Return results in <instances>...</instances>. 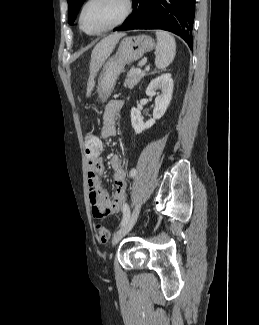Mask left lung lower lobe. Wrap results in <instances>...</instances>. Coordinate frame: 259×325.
Masks as SVG:
<instances>
[{
    "instance_id": "left-lung-lower-lobe-1",
    "label": "left lung lower lobe",
    "mask_w": 259,
    "mask_h": 325,
    "mask_svg": "<svg viewBox=\"0 0 259 325\" xmlns=\"http://www.w3.org/2000/svg\"><path fill=\"white\" fill-rule=\"evenodd\" d=\"M195 0H133V12L114 31L162 29L193 46Z\"/></svg>"
}]
</instances>
